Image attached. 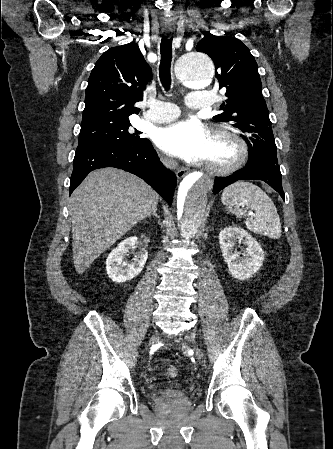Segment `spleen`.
Listing matches in <instances>:
<instances>
[{"instance_id": "obj_1", "label": "spleen", "mask_w": 333, "mask_h": 449, "mask_svg": "<svg viewBox=\"0 0 333 449\" xmlns=\"http://www.w3.org/2000/svg\"><path fill=\"white\" fill-rule=\"evenodd\" d=\"M221 201L227 211L234 213L237 218L246 216L243 207L254 211V218L247 217L245 220L246 227L251 232L273 239L281 237V222L277 209L269 196L257 185L236 182L223 190Z\"/></svg>"}]
</instances>
